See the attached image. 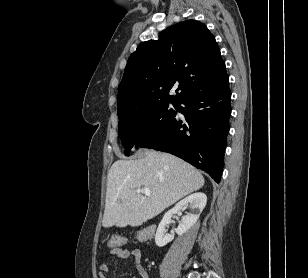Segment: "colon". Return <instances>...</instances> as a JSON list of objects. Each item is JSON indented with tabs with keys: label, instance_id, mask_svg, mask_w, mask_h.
Returning a JSON list of instances; mask_svg holds the SVG:
<instances>
[{
	"label": "colon",
	"instance_id": "1",
	"mask_svg": "<svg viewBox=\"0 0 308 278\" xmlns=\"http://www.w3.org/2000/svg\"><path fill=\"white\" fill-rule=\"evenodd\" d=\"M155 226H144L143 230H139L138 235L135 237L137 242H152L156 235ZM126 243V239L120 235H113L108 240V245L111 248H120Z\"/></svg>",
	"mask_w": 308,
	"mask_h": 278
}]
</instances>
